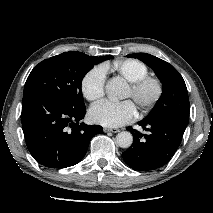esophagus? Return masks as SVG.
<instances>
[{
    "instance_id": "obj_1",
    "label": "esophagus",
    "mask_w": 213,
    "mask_h": 213,
    "mask_svg": "<svg viewBox=\"0 0 213 213\" xmlns=\"http://www.w3.org/2000/svg\"><path fill=\"white\" fill-rule=\"evenodd\" d=\"M119 131L118 128H104V132L118 133Z\"/></svg>"
}]
</instances>
